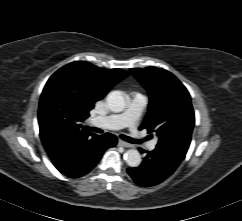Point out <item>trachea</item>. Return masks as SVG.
<instances>
[{
  "label": "trachea",
  "instance_id": "trachea-1",
  "mask_svg": "<svg viewBox=\"0 0 242 221\" xmlns=\"http://www.w3.org/2000/svg\"><path fill=\"white\" fill-rule=\"evenodd\" d=\"M89 129L93 132H96V133H103V130L99 129V128H95V127H89ZM120 138H122L123 140L129 142V143H132V144H141L143 141H146L148 140L149 138H145L143 140H137V139H133L131 137H128V136H125V135H120Z\"/></svg>",
  "mask_w": 242,
  "mask_h": 221
}]
</instances>
